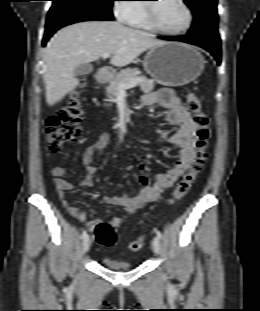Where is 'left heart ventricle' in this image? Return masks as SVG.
<instances>
[{
	"label": "left heart ventricle",
	"instance_id": "b2bd125f",
	"mask_svg": "<svg viewBox=\"0 0 260 311\" xmlns=\"http://www.w3.org/2000/svg\"><path fill=\"white\" fill-rule=\"evenodd\" d=\"M158 24L167 30H180L187 23V13L178 0H159L155 3Z\"/></svg>",
	"mask_w": 260,
	"mask_h": 311
}]
</instances>
